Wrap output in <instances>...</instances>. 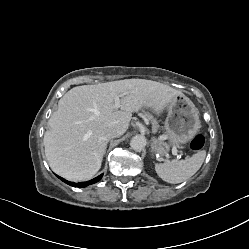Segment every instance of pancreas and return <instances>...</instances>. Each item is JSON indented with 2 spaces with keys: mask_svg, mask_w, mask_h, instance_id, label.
I'll return each instance as SVG.
<instances>
[{
  "mask_svg": "<svg viewBox=\"0 0 249 249\" xmlns=\"http://www.w3.org/2000/svg\"><path fill=\"white\" fill-rule=\"evenodd\" d=\"M149 120L152 122V128L154 131H156L159 128V124L157 123L156 120L153 119L152 115L145 113L144 114Z\"/></svg>",
  "mask_w": 249,
  "mask_h": 249,
  "instance_id": "obj_1",
  "label": "pancreas"
}]
</instances>
